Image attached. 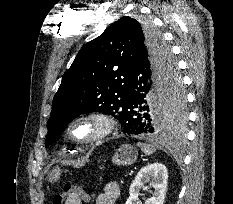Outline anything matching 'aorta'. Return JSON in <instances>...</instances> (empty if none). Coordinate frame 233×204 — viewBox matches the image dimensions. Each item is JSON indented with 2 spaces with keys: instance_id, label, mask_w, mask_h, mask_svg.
Instances as JSON below:
<instances>
[{
  "instance_id": "1",
  "label": "aorta",
  "mask_w": 233,
  "mask_h": 204,
  "mask_svg": "<svg viewBox=\"0 0 233 204\" xmlns=\"http://www.w3.org/2000/svg\"><path fill=\"white\" fill-rule=\"evenodd\" d=\"M152 107L154 108V111H155V112L161 110V106H160V105H157L156 103H153V104H152Z\"/></svg>"
}]
</instances>
